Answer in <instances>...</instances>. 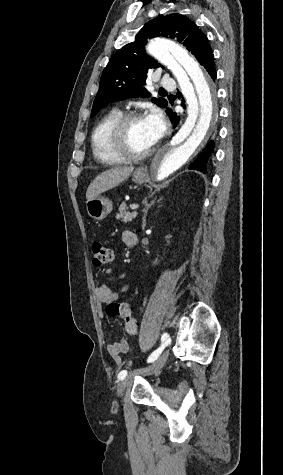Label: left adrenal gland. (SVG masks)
Listing matches in <instances>:
<instances>
[{"instance_id":"a2214340","label":"left adrenal gland","mask_w":283,"mask_h":475,"mask_svg":"<svg viewBox=\"0 0 283 475\" xmlns=\"http://www.w3.org/2000/svg\"><path fill=\"white\" fill-rule=\"evenodd\" d=\"M155 200H156V198H154V200H152V202H150V204H148L147 200H145V202H144L145 208L143 210L144 216H143V222H142V230H145L147 212H148L149 208H151V206H153V204H155Z\"/></svg>"}]
</instances>
